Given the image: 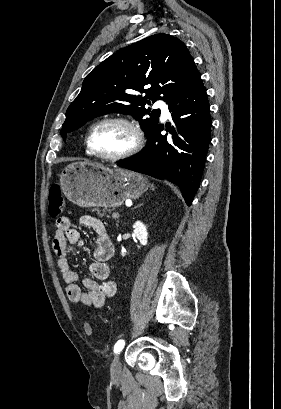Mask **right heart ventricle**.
Here are the masks:
<instances>
[{"label": "right heart ventricle", "mask_w": 281, "mask_h": 409, "mask_svg": "<svg viewBox=\"0 0 281 409\" xmlns=\"http://www.w3.org/2000/svg\"><path fill=\"white\" fill-rule=\"evenodd\" d=\"M90 130H91V127L88 129L87 136H86V139H85V152L88 155H91L90 149L88 147V136H89Z\"/></svg>", "instance_id": "e07e8e85"}]
</instances>
